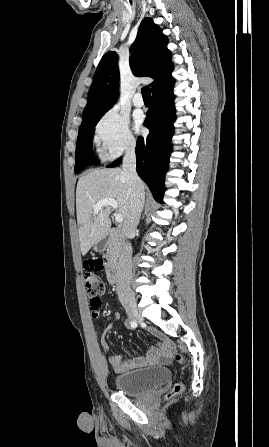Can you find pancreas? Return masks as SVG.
Listing matches in <instances>:
<instances>
[{
  "label": "pancreas",
  "mask_w": 269,
  "mask_h": 447,
  "mask_svg": "<svg viewBox=\"0 0 269 447\" xmlns=\"http://www.w3.org/2000/svg\"><path fill=\"white\" fill-rule=\"evenodd\" d=\"M121 251V243L116 237H110L106 257L108 263H116Z\"/></svg>",
  "instance_id": "pancreas-1"
}]
</instances>
